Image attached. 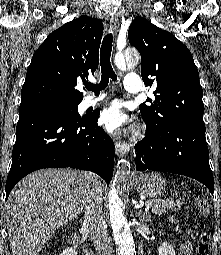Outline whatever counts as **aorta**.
Masks as SVG:
<instances>
[{"label":"aorta","mask_w":221,"mask_h":255,"mask_svg":"<svg viewBox=\"0 0 221 255\" xmlns=\"http://www.w3.org/2000/svg\"><path fill=\"white\" fill-rule=\"evenodd\" d=\"M138 54L133 49H127L125 53H118L115 57L116 65L123 69L134 67L138 64ZM131 164L128 160L119 162V169L113 180L109 197L110 221L113 226L114 240L118 246V255H136L135 242L130 226L119 206V194L124 190L127 184V176L130 173Z\"/></svg>","instance_id":"1"}]
</instances>
